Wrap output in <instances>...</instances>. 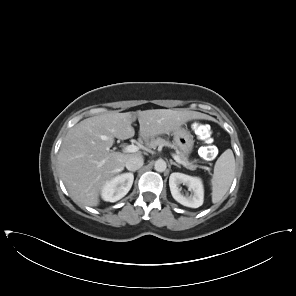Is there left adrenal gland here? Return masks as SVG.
Instances as JSON below:
<instances>
[{
  "mask_svg": "<svg viewBox=\"0 0 296 296\" xmlns=\"http://www.w3.org/2000/svg\"><path fill=\"white\" fill-rule=\"evenodd\" d=\"M170 164H171V165H175V166H177L178 168H181V166H180L179 164L173 162L172 160H170Z\"/></svg>",
  "mask_w": 296,
  "mask_h": 296,
  "instance_id": "left-adrenal-gland-1",
  "label": "left adrenal gland"
}]
</instances>
